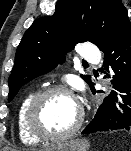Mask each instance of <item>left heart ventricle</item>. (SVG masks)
Masks as SVG:
<instances>
[{"instance_id":"obj_1","label":"left heart ventricle","mask_w":131,"mask_h":151,"mask_svg":"<svg viewBox=\"0 0 131 151\" xmlns=\"http://www.w3.org/2000/svg\"><path fill=\"white\" fill-rule=\"evenodd\" d=\"M76 102L66 94L55 93L41 103L37 122L39 128L49 134H59L68 130L76 121Z\"/></svg>"}]
</instances>
